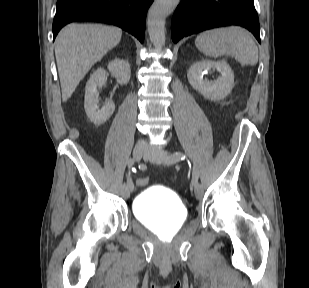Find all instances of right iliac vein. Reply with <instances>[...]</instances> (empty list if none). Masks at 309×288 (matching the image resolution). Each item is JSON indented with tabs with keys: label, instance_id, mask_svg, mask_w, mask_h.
Returning a JSON list of instances; mask_svg holds the SVG:
<instances>
[{
	"label": "right iliac vein",
	"instance_id": "1",
	"mask_svg": "<svg viewBox=\"0 0 309 288\" xmlns=\"http://www.w3.org/2000/svg\"><path fill=\"white\" fill-rule=\"evenodd\" d=\"M147 152V149H144L143 147L136 145L133 149V159L135 161H139L143 155H145ZM133 190H128L127 187L124 191V195L125 196H129L130 192H132Z\"/></svg>",
	"mask_w": 309,
	"mask_h": 288
}]
</instances>
